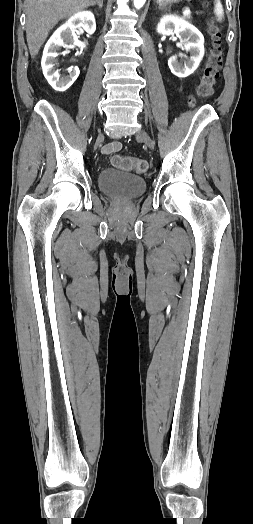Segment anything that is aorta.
Wrapping results in <instances>:
<instances>
[{
	"label": "aorta",
	"instance_id": "1",
	"mask_svg": "<svg viewBox=\"0 0 253 524\" xmlns=\"http://www.w3.org/2000/svg\"><path fill=\"white\" fill-rule=\"evenodd\" d=\"M133 1H134V6L137 9H140L146 2V0H133Z\"/></svg>",
	"mask_w": 253,
	"mask_h": 524
}]
</instances>
